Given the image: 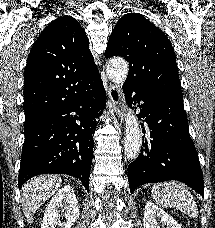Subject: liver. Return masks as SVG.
Listing matches in <instances>:
<instances>
[{
	"label": "liver",
	"instance_id": "liver-1",
	"mask_svg": "<svg viewBox=\"0 0 215 228\" xmlns=\"http://www.w3.org/2000/svg\"><path fill=\"white\" fill-rule=\"evenodd\" d=\"M62 186L60 176H35L22 186L21 204L27 224H32L34 214Z\"/></svg>",
	"mask_w": 215,
	"mask_h": 228
}]
</instances>
